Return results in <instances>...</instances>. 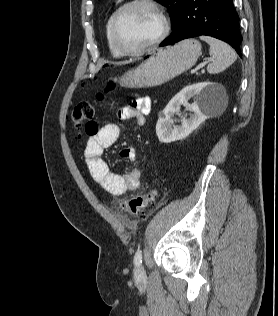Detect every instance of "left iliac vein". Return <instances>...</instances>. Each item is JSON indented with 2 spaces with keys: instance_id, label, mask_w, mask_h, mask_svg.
<instances>
[{
  "instance_id": "4c4485c4",
  "label": "left iliac vein",
  "mask_w": 278,
  "mask_h": 316,
  "mask_svg": "<svg viewBox=\"0 0 278 316\" xmlns=\"http://www.w3.org/2000/svg\"><path fill=\"white\" fill-rule=\"evenodd\" d=\"M135 275L136 277H143L145 275V270L142 266L135 269Z\"/></svg>"
}]
</instances>
